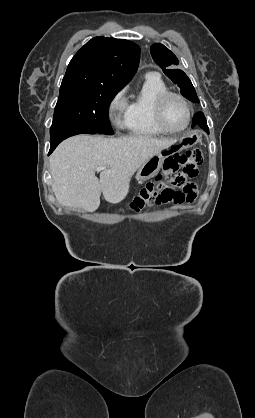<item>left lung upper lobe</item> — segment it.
Segmentation results:
<instances>
[{"instance_id":"5c2ea615","label":"left lung upper lobe","mask_w":255,"mask_h":418,"mask_svg":"<svg viewBox=\"0 0 255 418\" xmlns=\"http://www.w3.org/2000/svg\"><path fill=\"white\" fill-rule=\"evenodd\" d=\"M150 52L156 64L180 87L181 94L190 101L199 103L196 91L188 76L180 69H168L179 64L177 57L160 43L153 44L150 47Z\"/></svg>"}]
</instances>
